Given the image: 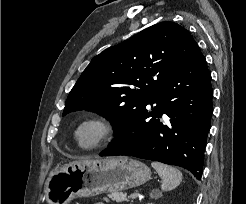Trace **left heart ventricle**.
<instances>
[{"mask_svg":"<svg viewBox=\"0 0 246 204\" xmlns=\"http://www.w3.org/2000/svg\"><path fill=\"white\" fill-rule=\"evenodd\" d=\"M98 130L95 126H86L79 133V139L83 143H90L97 136Z\"/></svg>","mask_w":246,"mask_h":204,"instance_id":"b2bd125f","label":"left heart ventricle"}]
</instances>
